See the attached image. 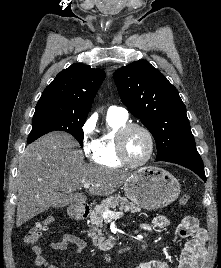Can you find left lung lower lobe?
<instances>
[{
    "label": "left lung lower lobe",
    "mask_w": 221,
    "mask_h": 268,
    "mask_svg": "<svg viewBox=\"0 0 221 268\" xmlns=\"http://www.w3.org/2000/svg\"><path fill=\"white\" fill-rule=\"evenodd\" d=\"M166 162L176 163L194 171L202 180L206 181L202 159L196 147L184 149L165 159Z\"/></svg>",
    "instance_id": "1"
}]
</instances>
